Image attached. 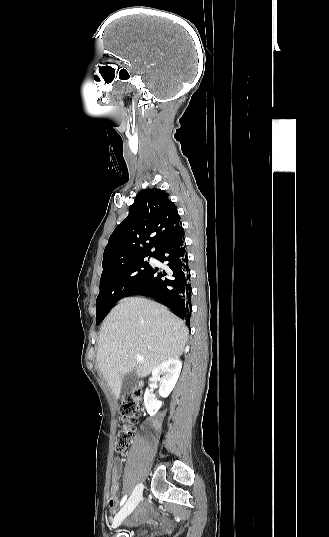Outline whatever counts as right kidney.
Listing matches in <instances>:
<instances>
[{"instance_id": "right-kidney-1", "label": "right kidney", "mask_w": 329, "mask_h": 537, "mask_svg": "<svg viewBox=\"0 0 329 537\" xmlns=\"http://www.w3.org/2000/svg\"><path fill=\"white\" fill-rule=\"evenodd\" d=\"M181 368L182 363L180 359L173 358L162 363L152 371L151 380H160L159 394L161 397H167L171 393L179 378ZM162 375L163 378L160 379ZM144 404L150 416L155 415L162 406V402L148 388L144 394Z\"/></svg>"}]
</instances>
